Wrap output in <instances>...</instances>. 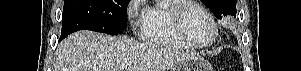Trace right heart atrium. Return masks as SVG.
Wrapping results in <instances>:
<instances>
[{
    "instance_id": "d8ad5b80",
    "label": "right heart atrium",
    "mask_w": 301,
    "mask_h": 71,
    "mask_svg": "<svg viewBox=\"0 0 301 71\" xmlns=\"http://www.w3.org/2000/svg\"><path fill=\"white\" fill-rule=\"evenodd\" d=\"M142 4L143 0H132L127 8V17L134 30L142 26L146 17V9L142 7Z\"/></svg>"
}]
</instances>
